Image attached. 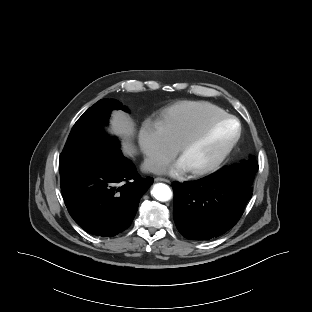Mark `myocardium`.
I'll return each mask as SVG.
<instances>
[{"mask_svg": "<svg viewBox=\"0 0 312 312\" xmlns=\"http://www.w3.org/2000/svg\"><path fill=\"white\" fill-rule=\"evenodd\" d=\"M226 121H232L236 124V132L234 136L229 140V142L224 146V148L216 154L210 161L207 163L191 168L190 171L193 174H204L207 173L213 169H215L217 166H219L225 158L230 154V152L233 150V148L238 143L241 133H242V127L240 121L233 115H224L221 117L214 118L210 120L208 123H206L202 128L197 130L195 133L191 134L187 138H185L178 147V152L180 155H182L190 146L200 141L202 138H204L215 126L226 122Z\"/></svg>", "mask_w": 312, "mask_h": 312, "instance_id": "1", "label": "myocardium"}]
</instances>
